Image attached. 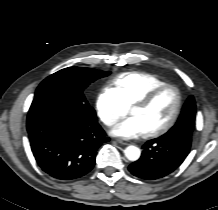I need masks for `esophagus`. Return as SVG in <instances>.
<instances>
[{"mask_svg": "<svg viewBox=\"0 0 218 210\" xmlns=\"http://www.w3.org/2000/svg\"><path fill=\"white\" fill-rule=\"evenodd\" d=\"M118 143L122 144V145H129L130 142L129 141H125V140H122V139H117L116 140Z\"/></svg>", "mask_w": 218, "mask_h": 210, "instance_id": "obj_1", "label": "esophagus"}]
</instances>
